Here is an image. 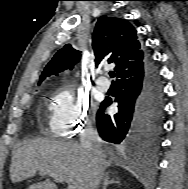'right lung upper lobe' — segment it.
Here are the masks:
<instances>
[{"instance_id":"1","label":"right lung upper lobe","mask_w":188,"mask_h":189,"mask_svg":"<svg viewBox=\"0 0 188 189\" xmlns=\"http://www.w3.org/2000/svg\"><path fill=\"white\" fill-rule=\"evenodd\" d=\"M92 46L96 66L103 59L115 64L117 82L139 73L147 57L138 40L137 31L121 18L101 16L93 33ZM80 58V51L73 49L69 44L65 45L46 65L39 83L50 75L65 69L71 70Z\"/></svg>"}]
</instances>
